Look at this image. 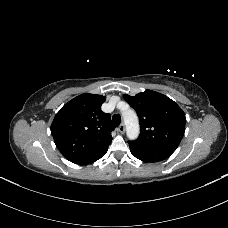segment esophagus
<instances>
[{
	"mask_svg": "<svg viewBox=\"0 0 228 228\" xmlns=\"http://www.w3.org/2000/svg\"><path fill=\"white\" fill-rule=\"evenodd\" d=\"M118 131L120 132V133H124L125 132V125L124 124H121L119 127H118Z\"/></svg>",
	"mask_w": 228,
	"mask_h": 228,
	"instance_id": "1",
	"label": "esophagus"
}]
</instances>
